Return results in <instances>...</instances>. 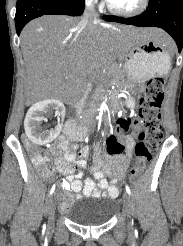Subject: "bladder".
<instances>
[{"mask_svg":"<svg viewBox=\"0 0 183 246\" xmlns=\"http://www.w3.org/2000/svg\"><path fill=\"white\" fill-rule=\"evenodd\" d=\"M117 210L118 203L116 200L102 194H94L72 205L66 212V216L74 224L93 227L108 223Z\"/></svg>","mask_w":183,"mask_h":246,"instance_id":"obj_1","label":"bladder"}]
</instances>
